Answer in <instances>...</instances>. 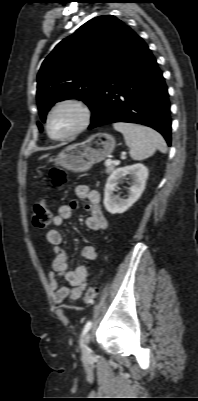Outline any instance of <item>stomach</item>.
I'll return each mask as SVG.
<instances>
[{
  "mask_svg": "<svg viewBox=\"0 0 198 401\" xmlns=\"http://www.w3.org/2000/svg\"><path fill=\"white\" fill-rule=\"evenodd\" d=\"M115 144L112 135L98 132L81 143L67 146L53 159V162L72 172H85L108 157L113 152Z\"/></svg>",
  "mask_w": 198,
  "mask_h": 401,
  "instance_id": "obj_1",
  "label": "stomach"
}]
</instances>
